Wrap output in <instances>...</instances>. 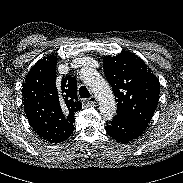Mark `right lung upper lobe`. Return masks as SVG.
Instances as JSON below:
<instances>
[{"label":"right lung upper lobe","mask_w":183,"mask_h":183,"mask_svg":"<svg viewBox=\"0 0 183 183\" xmlns=\"http://www.w3.org/2000/svg\"><path fill=\"white\" fill-rule=\"evenodd\" d=\"M57 57L40 59L22 84L24 110L34 131L50 143L66 140L74 131V114L81 110L75 77L56 78Z\"/></svg>","instance_id":"right-lung-upper-lobe-1"}]
</instances>
